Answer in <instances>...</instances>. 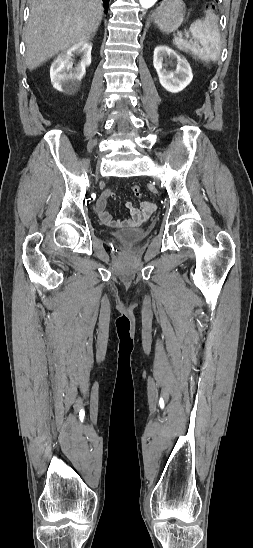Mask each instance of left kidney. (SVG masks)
<instances>
[{"mask_svg": "<svg viewBox=\"0 0 253 548\" xmlns=\"http://www.w3.org/2000/svg\"><path fill=\"white\" fill-rule=\"evenodd\" d=\"M176 63L174 71L167 70V64ZM153 65L159 76L160 84L171 93L182 91L193 79V74L188 61L178 55L169 47L160 45L154 50Z\"/></svg>", "mask_w": 253, "mask_h": 548, "instance_id": "5707ae66", "label": "left kidney"}]
</instances>
